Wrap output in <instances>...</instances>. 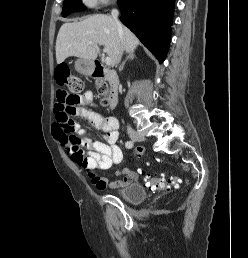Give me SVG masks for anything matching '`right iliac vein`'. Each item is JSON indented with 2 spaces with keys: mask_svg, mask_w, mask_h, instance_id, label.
Returning a JSON list of instances; mask_svg holds the SVG:
<instances>
[{
  "mask_svg": "<svg viewBox=\"0 0 248 258\" xmlns=\"http://www.w3.org/2000/svg\"><path fill=\"white\" fill-rule=\"evenodd\" d=\"M130 138L134 141H139V142L146 140V137L143 134L135 131L130 132Z\"/></svg>",
  "mask_w": 248,
  "mask_h": 258,
  "instance_id": "right-iliac-vein-1",
  "label": "right iliac vein"
}]
</instances>
